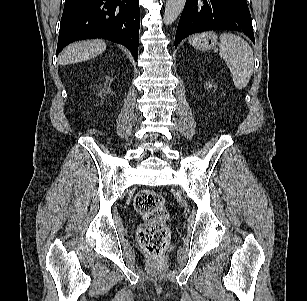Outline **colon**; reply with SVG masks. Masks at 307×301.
<instances>
[{
  "mask_svg": "<svg viewBox=\"0 0 307 301\" xmlns=\"http://www.w3.org/2000/svg\"><path fill=\"white\" fill-rule=\"evenodd\" d=\"M134 207L144 219L137 229L140 246L151 256L161 255L170 239L169 212L164 198L155 190L143 189L136 194Z\"/></svg>",
  "mask_w": 307,
  "mask_h": 301,
  "instance_id": "1",
  "label": "colon"
}]
</instances>
